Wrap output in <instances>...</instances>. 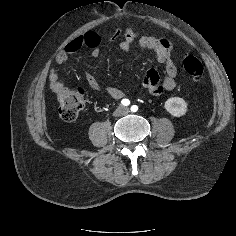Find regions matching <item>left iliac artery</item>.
<instances>
[{
  "label": "left iliac artery",
  "instance_id": "44dca946",
  "mask_svg": "<svg viewBox=\"0 0 236 236\" xmlns=\"http://www.w3.org/2000/svg\"><path fill=\"white\" fill-rule=\"evenodd\" d=\"M137 110H138V106L133 105V106L131 107V111H132V112H136Z\"/></svg>",
  "mask_w": 236,
  "mask_h": 236
}]
</instances>
